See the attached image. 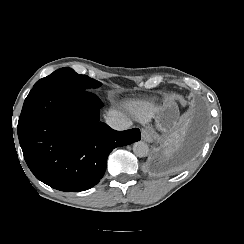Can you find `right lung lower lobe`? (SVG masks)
Listing matches in <instances>:
<instances>
[{
	"instance_id": "1",
	"label": "right lung lower lobe",
	"mask_w": 244,
	"mask_h": 244,
	"mask_svg": "<svg viewBox=\"0 0 244 244\" xmlns=\"http://www.w3.org/2000/svg\"><path fill=\"white\" fill-rule=\"evenodd\" d=\"M102 106L89 90L44 86L30 91L17 131L36 178L61 191L87 190L103 177L114 148L140 140L138 128L115 131L100 122Z\"/></svg>"
}]
</instances>
